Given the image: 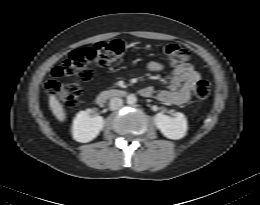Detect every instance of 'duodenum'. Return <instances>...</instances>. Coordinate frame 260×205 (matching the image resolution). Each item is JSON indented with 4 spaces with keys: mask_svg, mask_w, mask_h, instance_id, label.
I'll list each match as a JSON object with an SVG mask.
<instances>
[{
    "mask_svg": "<svg viewBox=\"0 0 260 205\" xmlns=\"http://www.w3.org/2000/svg\"><path fill=\"white\" fill-rule=\"evenodd\" d=\"M125 95H126V93L122 90H116V89L106 90L97 96V101L99 103H102V102L106 101L107 99L124 97Z\"/></svg>",
    "mask_w": 260,
    "mask_h": 205,
    "instance_id": "duodenum-1",
    "label": "duodenum"
}]
</instances>
